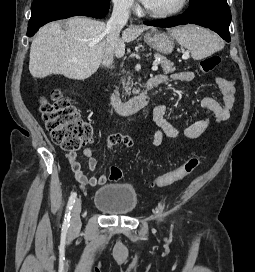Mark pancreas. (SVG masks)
Returning <instances> with one entry per match:
<instances>
[{"mask_svg": "<svg viewBox=\"0 0 255 272\" xmlns=\"http://www.w3.org/2000/svg\"><path fill=\"white\" fill-rule=\"evenodd\" d=\"M154 57H155V59H157L159 61V64L161 65L162 71L164 74H169V73H172L176 70L173 63H171V61L168 60L166 57H164L158 53H156L154 55ZM132 86H133V81L131 80L130 76L128 77L127 83L125 82V79L123 80V87H124L125 93L127 95H130ZM132 92L134 94H136V93H138V90L136 88H134Z\"/></svg>", "mask_w": 255, "mask_h": 272, "instance_id": "pancreas-1", "label": "pancreas"}]
</instances>
